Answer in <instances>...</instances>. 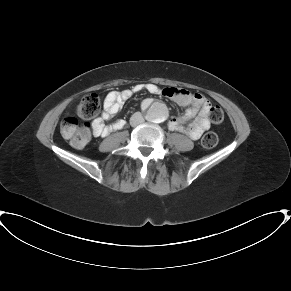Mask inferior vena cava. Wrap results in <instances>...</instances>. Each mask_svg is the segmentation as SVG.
I'll use <instances>...</instances> for the list:
<instances>
[{
    "mask_svg": "<svg viewBox=\"0 0 291 291\" xmlns=\"http://www.w3.org/2000/svg\"><path fill=\"white\" fill-rule=\"evenodd\" d=\"M143 122H144V118L140 112L134 113L130 118V125L132 127H136Z\"/></svg>",
    "mask_w": 291,
    "mask_h": 291,
    "instance_id": "obj_1",
    "label": "inferior vena cava"
}]
</instances>
